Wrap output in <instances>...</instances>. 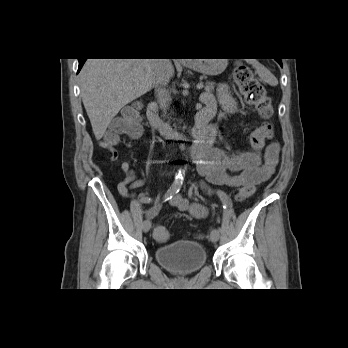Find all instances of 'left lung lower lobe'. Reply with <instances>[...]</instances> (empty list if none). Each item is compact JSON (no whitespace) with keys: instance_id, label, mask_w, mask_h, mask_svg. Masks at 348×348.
Masks as SVG:
<instances>
[{"instance_id":"obj_1","label":"left lung lower lobe","mask_w":348,"mask_h":348,"mask_svg":"<svg viewBox=\"0 0 348 348\" xmlns=\"http://www.w3.org/2000/svg\"><path fill=\"white\" fill-rule=\"evenodd\" d=\"M276 61L282 66V61L281 60H276Z\"/></svg>"}]
</instances>
